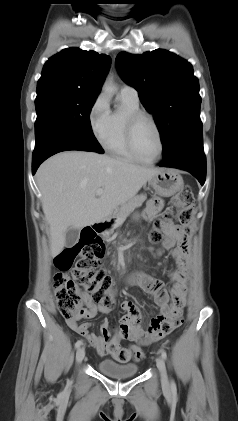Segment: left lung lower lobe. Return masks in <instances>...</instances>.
<instances>
[{
    "instance_id": "0a47b994",
    "label": "left lung lower lobe",
    "mask_w": 238,
    "mask_h": 421,
    "mask_svg": "<svg viewBox=\"0 0 238 421\" xmlns=\"http://www.w3.org/2000/svg\"><path fill=\"white\" fill-rule=\"evenodd\" d=\"M159 166L186 170L193 174L203 186L206 178V158L202 130L180 141L176 148L163 158Z\"/></svg>"
}]
</instances>
